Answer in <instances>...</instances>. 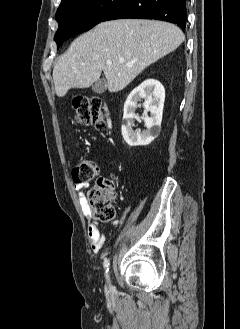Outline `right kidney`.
<instances>
[{
	"label": "right kidney",
	"instance_id": "right-kidney-1",
	"mask_svg": "<svg viewBox=\"0 0 240 329\" xmlns=\"http://www.w3.org/2000/svg\"><path fill=\"white\" fill-rule=\"evenodd\" d=\"M141 99H145L144 107L146 112H150V117L147 115L142 117L146 126V129L142 132L140 129L136 131L132 129L134 120H140L135 111ZM164 100L165 89L159 81L154 79L145 80L129 94L124 104L121 128L122 136L129 146L149 145L159 135Z\"/></svg>",
	"mask_w": 240,
	"mask_h": 329
}]
</instances>
